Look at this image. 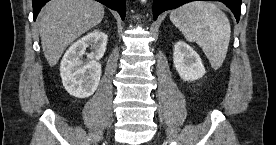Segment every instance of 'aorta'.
<instances>
[{"mask_svg":"<svg viewBox=\"0 0 276 145\" xmlns=\"http://www.w3.org/2000/svg\"><path fill=\"white\" fill-rule=\"evenodd\" d=\"M142 2H146V0H142Z\"/></svg>","mask_w":276,"mask_h":145,"instance_id":"1","label":"aorta"}]
</instances>
